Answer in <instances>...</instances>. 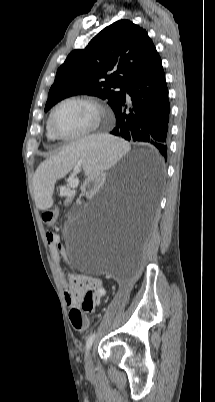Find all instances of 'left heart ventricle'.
<instances>
[{"mask_svg":"<svg viewBox=\"0 0 215 402\" xmlns=\"http://www.w3.org/2000/svg\"><path fill=\"white\" fill-rule=\"evenodd\" d=\"M94 109L85 103L69 102L55 113L53 125L62 135H74L88 129L94 122Z\"/></svg>","mask_w":215,"mask_h":402,"instance_id":"b2bd125f","label":"left heart ventricle"}]
</instances>
